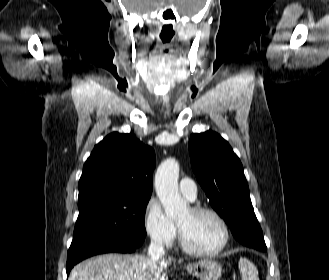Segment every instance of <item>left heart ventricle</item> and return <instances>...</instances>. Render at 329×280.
<instances>
[{"instance_id":"obj_1","label":"left heart ventricle","mask_w":329,"mask_h":280,"mask_svg":"<svg viewBox=\"0 0 329 280\" xmlns=\"http://www.w3.org/2000/svg\"><path fill=\"white\" fill-rule=\"evenodd\" d=\"M188 244L198 250H213L223 238L218 222L207 214H193L186 210L177 220Z\"/></svg>"}]
</instances>
